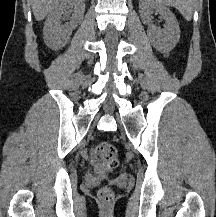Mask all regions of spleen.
I'll return each mask as SVG.
<instances>
[{"label": "spleen", "instance_id": "spleen-1", "mask_svg": "<svg viewBox=\"0 0 216 217\" xmlns=\"http://www.w3.org/2000/svg\"><path fill=\"white\" fill-rule=\"evenodd\" d=\"M158 3L175 7L183 17L190 21L192 18L195 0H156Z\"/></svg>", "mask_w": 216, "mask_h": 217}]
</instances>
